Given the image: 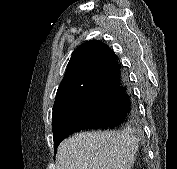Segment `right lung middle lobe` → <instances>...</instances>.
<instances>
[{
  "instance_id": "1",
  "label": "right lung middle lobe",
  "mask_w": 177,
  "mask_h": 169,
  "mask_svg": "<svg viewBox=\"0 0 177 169\" xmlns=\"http://www.w3.org/2000/svg\"><path fill=\"white\" fill-rule=\"evenodd\" d=\"M89 96V85L85 83L75 92L55 103L52 114L53 132L61 120L78 114L89 101Z\"/></svg>"
}]
</instances>
